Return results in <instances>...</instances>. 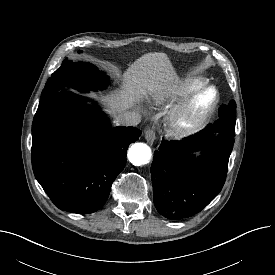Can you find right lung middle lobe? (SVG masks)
<instances>
[{
    "label": "right lung middle lobe",
    "mask_w": 275,
    "mask_h": 275,
    "mask_svg": "<svg viewBox=\"0 0 275 275\" xmlns=\"http://www.w3.org/2000/svg\"><path fill=\"white\" fill-rule=\"evenodd\" d=\"M108 77L89 63H74L65 59L59 69L48 79L42 91L39 108L45 106L65 87L71 86L81 92L101 89L107 85Z\"/></svg>",
    "instance_id": "1"
}]
</instances>
